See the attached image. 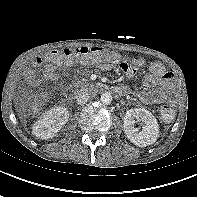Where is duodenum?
Listing matches in <instances>:
<instances>
[{"label": "duodenum", "mask_w": 197, "mask_h": 197, "mask_svg": "<svg viewBox=\"0 0 197 197\" xmlns=\"http://www.w3.org/2000/svg\"><path fill=\"white\" fill-rule=\"evenodd\" d=\"M112 90L116 93V94H119V95H126L128 94V89L125 88V87H122V86H114L112 87ZM70 94V93H69ZM68 94V96H69Z\"/></svg>", "instance_id": "410a0bca"}]
</instances>
